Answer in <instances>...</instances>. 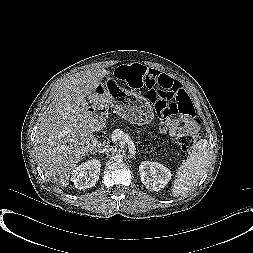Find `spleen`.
Returning a JSON list of instances; mask_svg holds the SVG:
<instances>
[{
  "mask_svg": "<svg viewBox=\"0 0 253 253\" xmlns=\"http://www.w3.org/2000/svg\"><path fill=\"white\" fill-rule=\"evenodd\" d=\"M209 161V146L206 139L193 145L186 161L178 168L172 196H185L201 179Z\"/></svg>",
  "mask_w": 253,
  "mask_h": 253,
  "instance_id": "obj_1",
  "label": "spleen"
}]
</instances>
